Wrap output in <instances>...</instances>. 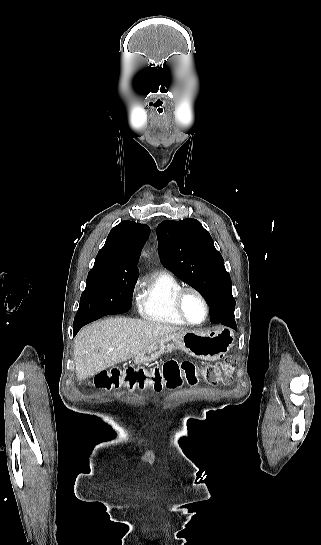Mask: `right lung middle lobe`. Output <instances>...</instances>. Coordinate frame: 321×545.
Masks as SVG:
<instances>
[{"mask_svg": "<svg viewBox=\"0 0 321 545\" xmlns=\"http://www.w3.org/2000/svg\"><path fill=\"white\" fill-rule=\"evenodd\" d=\"M137 278L114 276L107 272H89L74 322L99 319L117 297L132 295Z\"/></svg>", "mask_w": 321, "mask_h": 545, "instance_id": "1", "label": "right lung middle lobe"}]
</instances>
